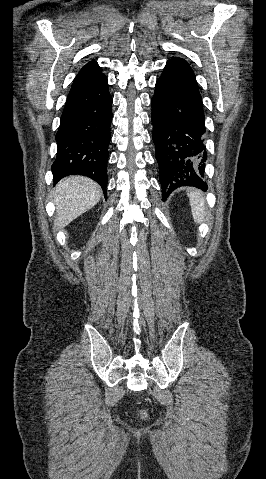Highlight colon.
<instances>
[{"instance_id": "obj_1", "label": "colon", "mask_w": 266, "mask_h": 479, "mask_svg": "<svg viewBox=\"0 0 266 479\" xmlns=\"http://www.w3.org/2000/svg\"><path fill=\"white\" fill-rule=\"evenodd\" d=\"M139 414H140V416H141L142 418H145V417L147 416L146 412L143 411V410H141V411L139 412Z\"/></svg>"}]
</instances>
